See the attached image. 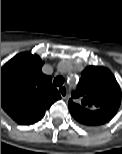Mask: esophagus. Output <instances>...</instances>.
I'll return each instance as SVG.
<instances>
[{
    "label": "esophagus",
    "instance_id": "34e87169",
    "mask_svg": "<svg viewBox=\"0 0 122 154\" xmlns=\"http://www.w3.org/2000/svg\"><path fill=\"white\" fill-rule=\"evenodd\" d=\"M58 91H59V93H60V95H61V97L63 98V99H65L66 97H67V87L66 86H61V87H59L58 88Z\"/></svg>",
    "mask_w": 122,
    "mask_h": 154
}]
</instances>
